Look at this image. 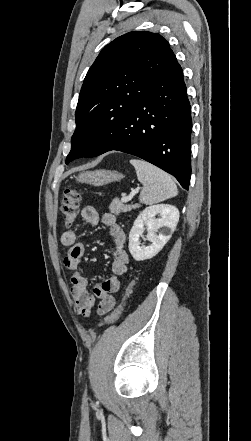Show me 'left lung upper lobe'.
Returning a JSON list of instances; mask_svg holds the SVG:
<instances>
[{
    "instance_id": "left-lung-upper-lobe-1",
    "label": "left lung upper lobe",
    "mask_w": 251,
    "mask_h": 441,
    "mask_svg": "<svg viewBox=\"0 0 251 441\" xmlns=\"http://www.w3.org/2000/svg\"><path fill=\"white\" fill-rule=\"evenodd\" d=\"M174 53L159 34L126 33L103 48L84 79L66 164L89 157L93 131L121 121L143 99Z\"/></svg>"
}]
</instances>
